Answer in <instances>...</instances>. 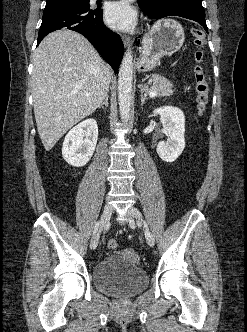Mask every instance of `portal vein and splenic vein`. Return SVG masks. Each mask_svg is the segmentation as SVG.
Instances as JSON below:
<instances>
[{"label":"portal vein and splenic vein","instance_id":"obj_1","mask_svg":"<svg viewBox=\"0 0 247 332\" xmlns=\"http://www.w3.org/2000/svg\"><path fill=\"white\" fill-rule=\"evenodd\" d=\"M157 95V92L156 91H151L150 93H149V97H155Z\"/></svg>","mask_w":247,"mask_h":332}]
</instances>
